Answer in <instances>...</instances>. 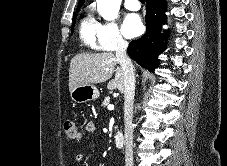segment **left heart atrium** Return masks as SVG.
Returning <instances> with one entry per match:
<instances>
[{"instance_id":"left-heart-atrium-1","label":"left heart atrium","mask_w":227,"mask_h":166,"mask_svg":"<svg viewBox=\"0 0 227 166\" xmlns=\"http://www.w3.org/2000/svg\"><path fill=\"white\" fill-rule=\"evenodd\" d=\"M123 31L127 37H136L143 31V24L140 17L136 14H129L123 22Z\"/></svg>"}]
</instances>
